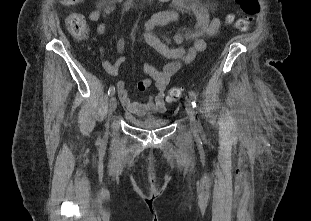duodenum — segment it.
Listing matches in <instances>:
<instances>
[{"label":"duodenum","instance_id":"duodenum-1","mask_svg":"<svg viewBox=\"0 0 311 221\" xmlns=\"http://www.w3.org/2000/svg\"><path fill=\"white\" fill-rule=\"evenodd\" d=\"M148 2L147 0H125L124 6L128 9H133L139 5H142L144 3Z\"/></svg>","mask_w":311,"mask_h":221}]
</instances>
